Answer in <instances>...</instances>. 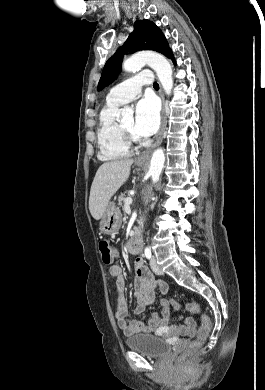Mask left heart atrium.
I'll return each mask as SVG.
<instances>
[{"label":"left heart atrium","instance_id":"39dd6f15","mask_svg":"<svg viewBox=\"0 0 265 390\" xmlns=\"http://www.w3.org/2000/svg\"><path fill=\"white\" fill-rule=\"evenodd\" d=\"M160 124L159 108L151 98H144L136 105L134 133L147 138L156 133Z\"/></svg>","mask_w":265,"mask_h":390}]
</instances>
